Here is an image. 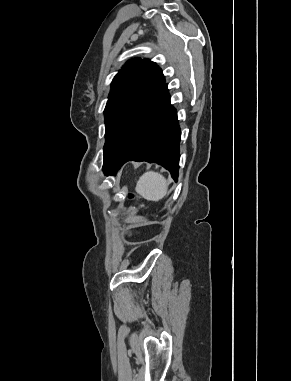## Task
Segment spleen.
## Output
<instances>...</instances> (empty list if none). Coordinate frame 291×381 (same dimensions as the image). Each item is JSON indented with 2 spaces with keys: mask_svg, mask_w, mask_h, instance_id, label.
Here are the masks:
<instances>
[{
  "mask_svg": "<svg viewBox=\"0 0 291 381\" xmlns=\"http://www.w3.org/2000/svg\"><path fill=\"white\" fill-rule=\"evenodd\" d=\"M136 192L148 201H159L167 194V181L158 172L144 173L136 184Z\"/></svg>",
  "mask_w": 291,
  "mask_h": 381,
  "instance_id": "3e777b00",
  "label": "spleen"
}]
</instances>
